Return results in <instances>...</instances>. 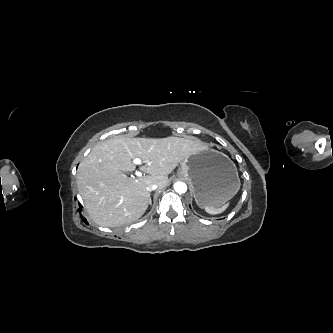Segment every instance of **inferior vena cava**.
<instances>
[{
    "label": "inferior vena cava",
    "mask_w": 333,
    "mask_h": 333,
    "mask_svg": "<svg viewBox=\"0 0 333 333\" xmlns=\"http://www.w3.org/2000/svg\"><path fill=\"white\" fill-rule=\"evenodd\" d=\"M157 188H158V185L156 183H154V184L149 185L147 187V190L151 192V191L156 190Z\"/></svg>",
    "instance_id": "602c4592"
}]
</instances>
